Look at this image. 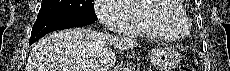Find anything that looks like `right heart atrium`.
<instances>
[{
    "mask_svg": "<svg viewBox=\"0 0 230 71\" xmlns=\"http://www.w3.org/2000/svg\"><path fill=\"white\" fill-rule=\"evenodd\" d=\"M128 2L127 0H96V16L108 29L124 34L134 23V17L128 9Z\"/></svg>",
    "mask_w": 230,
    "mask_h": 71,
    "instance_id": "obj_1",
    "label": "right heart atrium"
}]
</instances>
